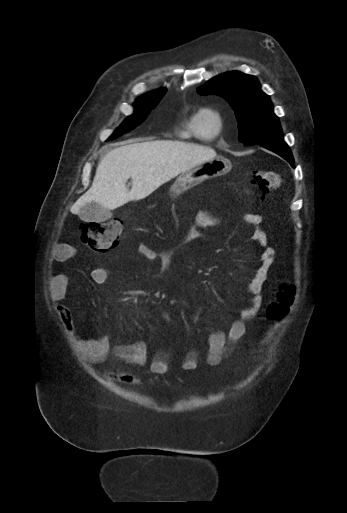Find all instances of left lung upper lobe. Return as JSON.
Here are the masks:
<instances>
[{"instance_id": "1", "label": "left lung upper lobe", "mask_w": 347, "mask_h": 513, "mask_svg": "<svg viewBox=\"0 0 347 513\" xmlns=\"http://www.w3.org/2000/svg\"><path fill=\"white\" fill-rule=\"evenodd\" d=\"M198 93L224 97L235 111L239 141L244 145L283 141L282 129L268 95L256 77L229 72L212 78Z\"/></svg>"}]
</instances>
